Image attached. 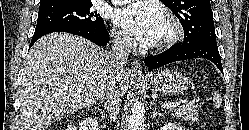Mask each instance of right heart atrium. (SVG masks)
I'll use <instances>...</instances> for the list:
<instances>
[{
  "label": "right heart atrium",
  "instance_id": "1",
  "mask_svg": "<svg viewBox=\"0 0 249 130\" xmlns=\"http://www.w3.org/2000/svg\"><path fill=\"white\" fill-rule=\"evenodd\" d=\"M112 37L114 41L124 47H129L131 45V39L130 37L124 33L123 31H120L116 28H113L111 30Z\"/></svg>",
  "mask_w": 249,
  "mask_h": 130
}]
</instances>
